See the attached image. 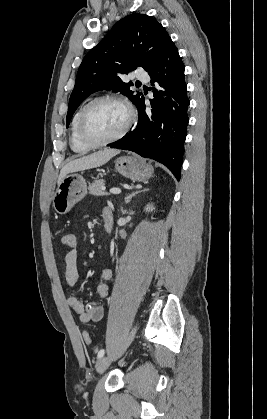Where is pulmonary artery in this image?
Wrapping results in <instances>:
<instances>
[{
	"label": "pulmonary artery",
	"mask_w": 267,
	"mask_h": 419,
	"mask_svg": "<svg viewBox=\"0 0 267 419\" xmlns=\"http://www.w3.org/2000/svg\"><path fill=\"white\" fill-rule=\"evenodd\" d=\"M135 78L142 81H148L149 76L146 72L138 70L135 73Z\"/></svg>",
	"instance_id": "e3ab8cb5"
}]
</instances>
